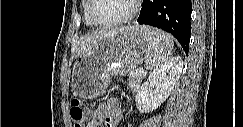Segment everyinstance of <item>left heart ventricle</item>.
<instances>
[{"label": "left heart ventricle", "instance_id": "obj_1", "mask_svg": "<svg viewBox=\"0 0 243 127\" xmlns=\"http://www.w3.org/2000/svg\"><path fill=\"white\" fill-rule=\"evenodd\" d=\"M132 8L130 0H95L93 16L99 22H110L126 16Z\"/></svg>", "mask_w": 243, "mask_h": 127}]
</instances>
